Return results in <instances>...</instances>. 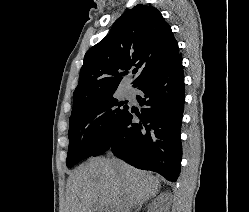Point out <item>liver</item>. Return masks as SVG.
<instances>
[{
	"mask_svg": "<svg viewBox=\"0 0 249 212\" xmlns=\"http://www.w3.org/2000/svg\"><path fill=\"white\" fill-rule=\"evenodd\" d=\"M160 188L159 178L121 160L91 158L67 180V212H99L102 206L123 212L125 202L131 204L132 212V208L155 198Z\"/></svg>",
	"mask_w": 249,
	"mask_h": 212,
	"instance_id": "6515ba94",
	"label": "liver"
}]
</instances>
